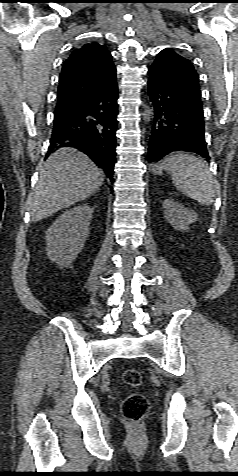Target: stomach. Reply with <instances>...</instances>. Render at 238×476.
<instances>
[{"instance_id":"1","label":"stomach","mask_w":238,"mask_h":476,"mask_svg":"<svg viewBox=\"0 0 238 476\" xmlns=\"http://www.w3.org/2000/svg\"><path fill=\"white\" fill-rule=\"evenodd\" d=\"M162 172V167L161 165H155L154 168H153V173L155 174H161Z\"/></svg>"}]
</instances>
